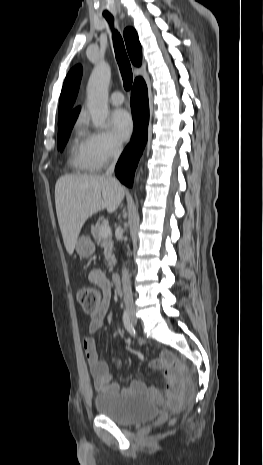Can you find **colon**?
Returning <instances> with one entry per match:
<instances>
[{
  "label": "colon",
  "mask_w": 263,
  "mask_h": 465,
  "mask_svg": "<svg viewBox=\"0 0 263 465\" xmlns=\"http://www.w3.org/2000/svg\"><path fill=\"white\" fill-rule=\"evenodd\" d=\"M77 299L84 310L91 311L102 299V291L98 287L84 286L79 289Z\"/></svg>",
  "instance_id": "5ec220e1"
}]
</instances>
